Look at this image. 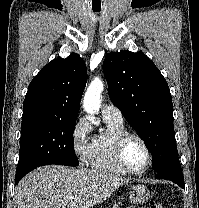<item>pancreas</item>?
Here are the masks:
<instances>
[{"instance_id": "obj_1", "label": "pancreas", "mask_w": 199, "mask_h": 208, "mask_svg": "<svg viewBox=\"0 0 199 208\" xmlns=\"http://www.w3.org/2000/svg\"><path fill=\"white\" fill-rule=\"evenodd\" d=\"M113 208H118V205H116V204H115V205H113ZM130 208H132V207H130Z\"/></svg>"}]
</instances>
